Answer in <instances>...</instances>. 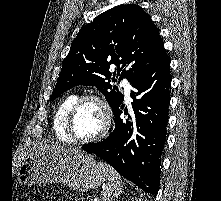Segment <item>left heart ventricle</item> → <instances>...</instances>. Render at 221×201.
I'll list each match as a JSON object with an SVG mask.
<instances>
[{
	"mask_svg": "<svg viewBox=\"0 0 221 201\" xmlns=\"http://www.w3.org/2000/svg\"><path fill=\"white\" fill-rule=\"evenodd\" d=\"M104 124V115L100 105L95 101L85 102L78 110L73 132L79 139H87L97 135Z\"/></svg>",
	"mask_w": 221,
	"mask_h": 201,
	"instance_id": "left-heart-ventricle-1",
	"label": "left heart ventricle"
}]
</instances>
